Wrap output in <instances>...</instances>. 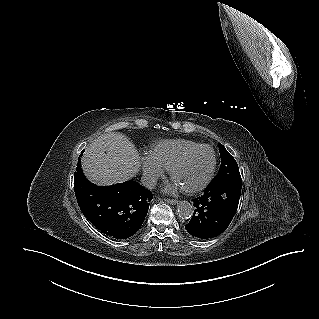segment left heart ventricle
Here are the masks:
<instances>
[{
	"label": "left heart ventricle",
	"mask_w": 319,
	"mask_h": 319,
	"mask_svg": "<svg viewBox=\"0 0 319 319\" xmlns=\"http://www.w3.org/2000/svg\"><path fill=\"white\" fill-rule=\"evenodd\" d=\"M212 160L213 156L209 149L198 150L176 171L174 182L183 190L196 187L206 178Z\"/></svg>",
	"instance_id": "obj_1"
}]
</instances>
